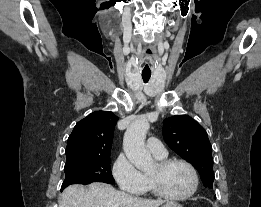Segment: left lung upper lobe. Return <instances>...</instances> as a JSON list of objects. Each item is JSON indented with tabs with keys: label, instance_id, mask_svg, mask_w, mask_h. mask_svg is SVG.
Instances as JSON below:
<instances>
[{
	"label": "left lung upper lobe",
	"instance_id": "obj_1",
	"mask_svg": "<svg viewBox=\"0 0 261 207\" xmlns=\"http://www.w3.org/2000/svg\"><path fill=\"white\" fill-rule=\"evenodd\" d=\"M163 137L173 151L198 170L204 186L212 188V147L206 130L187 115H174L164 120Z\"/></svg>",
	"mask_w": 261,
	"mask_h": 207
}]
</instances>
